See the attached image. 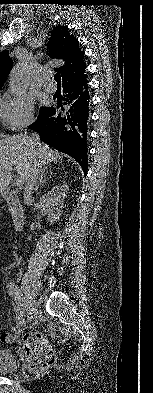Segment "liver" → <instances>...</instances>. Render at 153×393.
<instances>
[{
	"instance_id": "6515ba94",
	"label": "liver",
	"mask_w": 153,
	"mask_h": 393,
	"mask_svg": "<svg viewBox=\"0 0 153 393\" xmlns=\"http://www.w3.org/2000/svg\"><path fill=\"white\" fill-rule=\"evenodd\" d=\"M51 156L43 149H36L30 139L20 135L0 142V191L12 179V167L22 183H26L37 163L49 160Z\"/></svg>"
}]
</instances>
